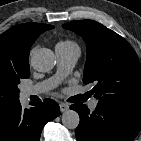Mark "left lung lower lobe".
Listing matches in <instances>:
<instances>
[{
	"instance_id": "0a47b994",
	"label": "left lung lower lobe",
	"mask_w": 141,
	"mask_h": 141,
	"mask_svg": "<svg viewBox=\"0 0 141 141\" xmlns=\"http://www.w3.org/2000/svg\"><path fill=\"white\" fill-rule=\"evenodd\" d=\"M80 117L77 141H132L141 129V110L98 103L90 112L81 103L70 106Z\"/></svg>"
}]
</instances>
